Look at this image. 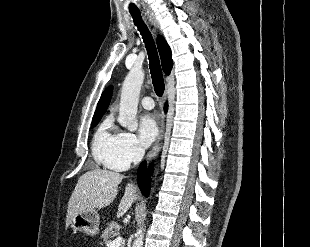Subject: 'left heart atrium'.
<instances>
[{
	"label": "left heart atrium",
	"instance_id": "1",
	"mask_svg": "<svg viewBox=\"0 0 310 247\" xmlns=\"http://www.w3.org/2000/svg\"><path fill=\"white\" fill-rule=\"evenodd\" d=\"M139 134L140 140L145 147L151 145L155 141L158 135V126L153 116L144 115L141 117Z\"/></svg>",
	"mask_w": 310,
	"mask_h": 247
}]
</instances>
